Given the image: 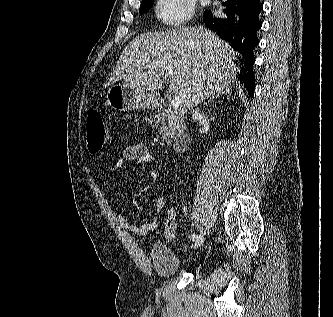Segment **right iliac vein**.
Masks as SVG:
<instances>
[{"label": "right iliac vein", "instance_id": "63e3f726", "mask_svg": "<svg viewBox=\"0 0 333 317\" xmlns=\"http://www.w3.org/2000/svg\"><path fill=\"white\" fill-rule=\"evenodd\" d=\"M204 242V236L200 235L199 238L192 243V248H198L200 247Z\"/></svg>", "mask_w": 333, "mask_h": 317}]
</instances>
